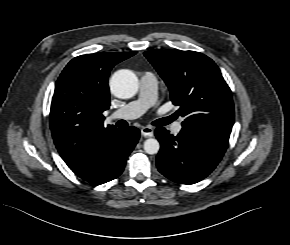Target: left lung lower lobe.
<instances>
[{"instance_id": "left-lung-lower-lobe-1", "label": "left lung lower lobe", "mask_w": 290, "mask_h": 245, "mask_svg": "<svg viewBox=\"0 0 290 245\" xmlns=\"http://www.w3.org/2000/svg\"><path fill=\"white\" fill-rule=\"evenodd\" d=\"M155 135L161 144L156 157L158 170L181 184H194L207 177L228 146V142L194 129L182 128L173 136L165 128H157Z\"/></svg>"}]
</instances>
